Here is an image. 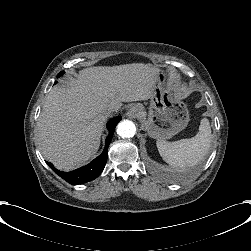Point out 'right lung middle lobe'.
I'll use <instances>...</instances> for the list:
<instances>
[{
    "mask_svg": "<svg viewBox=\"0 0 251 251\" xmlns=\"http://www.w3.org/2000/svg\"><path fill=\"white\" fill-rule=\"evenodd\" d=\"M63 73H64V72H60L59 75H58V77L61 76Z\"/></svg>",
    "mask_w": 251,
    "mask_h": 251,
    "instance_id": "dd1d6c3e",
    "label": "right lung middle lobe"
}]
</instances>
